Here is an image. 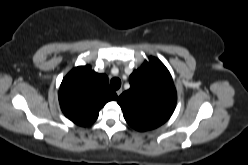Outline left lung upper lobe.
<instances>
[{
	"label": "left lung upper lobe",
	"instance_id": "1",
	"mask_svg": "<svg viewBox=\"0 0 248 165\" xmlns=\"http://www.w3.org/2000/svg\"><path fill=\"white\" fill-rule=\"evenodd\" d=\"M149 59L130 75V89L117 100L127 123L138 131L154 129L165 123L177 100L167 68L159 59Z\"/></svg>",
	"mask_w": 248,
	"mask_h": 165
}]
</instances>
